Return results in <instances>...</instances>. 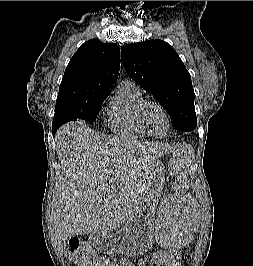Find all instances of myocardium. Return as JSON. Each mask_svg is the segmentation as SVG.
I'll return each mask as SVG.
<instances>
[{"mask_svg":"<svg viewBox=\"0 0 253 266\" xmlns=\"http://www.w3.org/2000/svg\"><path fill=\"white\" fill-rule=\"evenodd\" d=\"M150 106H156L158 107L162 112L163 114L165 115L166 117V120H167V123H168V127H167V131L165 132L164 135H156L154 134L153 132H151V130L148 128V126L146 125V122H145V113H146V110L148 107ZM138 122H139V125L140 127L151 137H155V138H163L165 136L168 135V133L170 132V129H171V119L169 117V114L167 112V110L165 109V107L156 102V101H144L139 110H138Z\"/></svg>","mask_w":253,"mask_h":266,"instance_id":"1","label":"myocardium"}]
</instances>
